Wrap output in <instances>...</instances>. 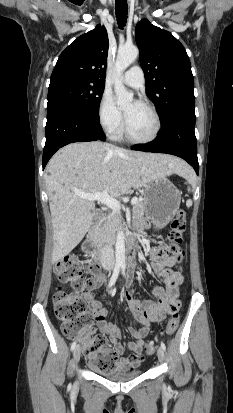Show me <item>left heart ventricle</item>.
I'll use <instances>...</instances> for the list:
<instances>
[{
  "label": "left heart ventricle",
  "mask_w": 233,
  "mask_h": 413,
  "mask_svg": "<svg viewBox=\"0 0 233 413\" xmlns=\"http://www.w3.org/2000/svg\"><path fill=\"white\" fill-rule=\"evenodd\" d=\"M129 133L135 138L149 137L155 127L151 112L143 105L134 108L133 103L124 107Z\"/></svg>",
  "instance_id": "b2bd125f"
}]
</instances>
